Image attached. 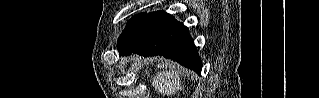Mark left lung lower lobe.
<instances>
[{"label":"left lung lower lobe","mask_w":319,"mask_h":98,"mask_svg":"<svg viewBox=\"0 0 319 98\" xmlns=\"http://www.w3.org/2000/svg\"><path fill=\"white\" fill-rule=\"evenodd\" d=\"M119 53L142 56L162 55L201 73L202 64L187 27L164 11L147 14Z\"/></svg>","instance_id":"left-lung-lower-lobe-1"}]
</instances>
